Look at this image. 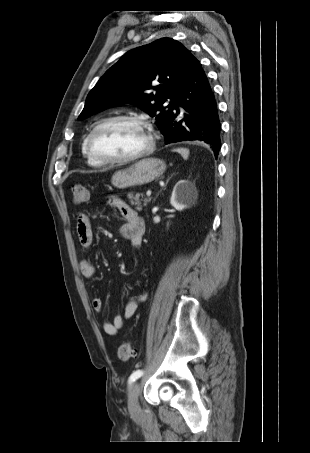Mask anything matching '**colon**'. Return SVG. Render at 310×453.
Returning a JSON list of instances; mask_svg holds the SVG:
<instances>
[{
	"label": "colon",
	"instance_id": "5ec220e1",
	"mask_svg": "<svg viewBox=\"0 0 310 453\" xmlns=\"http://www.w3.org/2000/svg\"><path fill=\"white\" fill-rule=\"evenodd\" d=\"M73 201L77 205H83L88 201V190L86 186L76 184L72 187ZM134 356V349L130 342L121 344L117 350V359L126 362Z\"/></svg>",
	"mask_w": 310,
	"mask_h": 453
}]
</instances>
